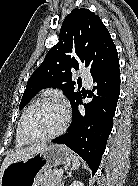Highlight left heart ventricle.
I'll use <instances>...</instances> for the list:
<instances>
[{"mask_svg": "<svg viewBox=\"0 0 138 186\" xmlns=\"http://www.w3.org/2000/svg\"><path fill=\"white\" fill-rule=\"evenodd\" d=\"M64 112L54 105H44L35 108L26 117L23 125L25 134L29 137H43L56 132L63 124Z\"/></svg>", "mask_w": 138, "mask_h": 186, "instance_id": "left-heart-ventricle-1", "label": "left heart ventricle"}]
</instances>
